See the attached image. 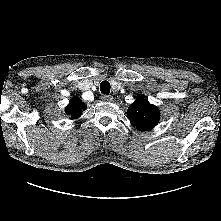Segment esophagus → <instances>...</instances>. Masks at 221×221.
<instances>
[{
    "label": "esophagus",
    "mask_w": 221,
    "mask_h": 221,
    "mask_svg": "<svg viewBox=\"0 0 221 221\" xmlns=\"http://www.w3.org/2000/svg\"><path fill=\"white\" fill-rule=\"evenodd\" d=\"M101 99L104 100V101L110 102V101L113 100V97L111 95H102Z\"/></svg>",
    "instance_id": "34e87169"
}]
</instances>
